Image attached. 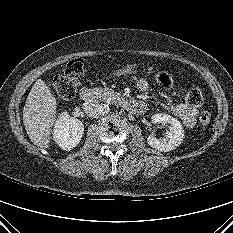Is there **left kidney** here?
I'll return each instance as SVG.
<instances>
[{
	"label": "left kidney",
	"mask_w": 233,
	"mask_h": 233,
	"mask_svg": "<svg viewBox=\"0 0 233 233\" xmlns=\"http://www.w3.org/2000/svg\"><path fill=\"white\" fill-rule=\"evenodd\" d=\"M152 123L169 124V131L166 132L165 138H156L150 134L147 138V143L159 151L169 152L180 146L184 139V130L182 124L174 117L165 114L157 113L151 117Z\"/></svg>",
	"instance_id": "left-kidney-1"
}]
</instances>
